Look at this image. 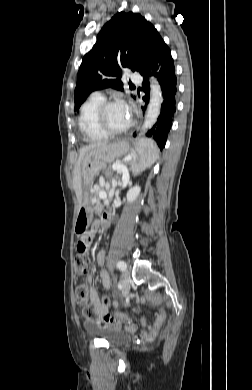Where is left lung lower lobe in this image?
Segmentation results:
<instances>
[{"instance_id":"1","label":"left lung lower lobe","mask_w":252,"mask_h":390,"mask_svg":"<svg viewBox=\"0 0 252 390\" xmlns=\"http://www.w3.org/2000/svg\"><path fill=\"white\" fill-rule=\"evenodd\" d=\"M151 72L161 85L163 101L157 122L148 130L146 135L153 139L162 150L165 147L167 136L174 120L177 101V77L173 58L171 57L169 47L163 40L158 45L148 66L141 73L143 76L142 86L145 92L143 100L146 104L149 101V76H151ZM142 110L144 112L146 107H142Z\"/></svg>"}]
</instances>
